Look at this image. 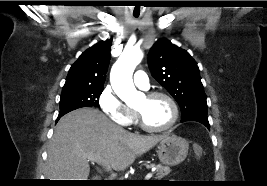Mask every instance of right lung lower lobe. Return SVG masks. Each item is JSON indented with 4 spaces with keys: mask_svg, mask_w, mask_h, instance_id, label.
<instances>
[{
    "mask_svg": "<svg viewBox=\"0 0 267 186\" xmlns=\"http://www.w3.org/2000/svg\"><path fill=\"white\" fill-rule=\"evenodd\" d=\"M64 114H59L58 115V118H57V121L63 116Z\"/></svg>",
    "mask_w": 267,
    "mask_h": 186,
    "instance_id": "right-lung-lower-lobe-1",
    "label": "right lung lower lobe"
}]
</instances>
